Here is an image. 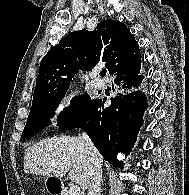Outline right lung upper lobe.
I'll list each match as a JSON object with an SVG mask.
<instances>
[{
  "instance_id": "1",
  "label": "right lung upper lobe",
  "mask_w": 189,
  "mask_h": 195,
  "mask_svg": "<svg viewBox=\"0 0 189 195\" xmlns=\"http://www.w3.org/2000/svg\"><path fill=\"white\" fill-rule=\"evenodd\" d=\"M101 63L118 76L141 67L139 46L119 21H101L93 32H72L52 47L41 60L32 103L68 89L80 70Z\"/></svg>"
}]
</instances>
